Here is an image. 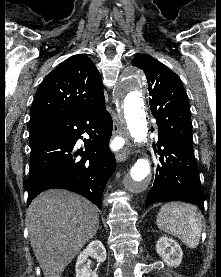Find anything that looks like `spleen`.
<instances>
[{"label":"spleen","mask_w":221,"mask_h":277,"mask_svg":"<svg viewBox=\"0 0 221 277\" xmlns=\"http://www.w3.org/2000/svg\"><path fill=\"white\" fill-rule=\"evenodd\" d=\"M157 226L166 233L178 237L187 247L196 248L202 230L201 214L187 203H167L160 208Z\"/></svg>","instance_id":"3e777b00"}]
</instances>
